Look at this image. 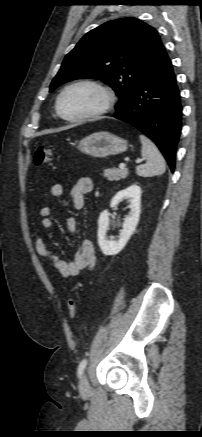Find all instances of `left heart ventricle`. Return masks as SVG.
<instances>
[{"mask_svg": "<svg viewBox=\"0 0 202 437\" xmlns=\"http://www.w3.org/2000/svg\"><path fill=\"white\" fill-rule=\"evenodd\" d=\"M101 93L90 86H79L69 90L61 100V110L69 117L91 112L101 106Z\"/></svg>", "mask_w": 202, "mask_h": 437, "instance_id": "left-heart-ventricle-1", "label": "left heart ventricle"}]
</instances>
